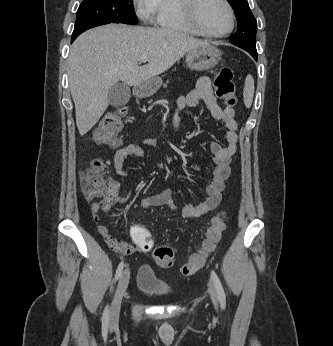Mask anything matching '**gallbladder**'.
Segmentation results:
<instances>
[{
    "label": "gallbladder",
    "instance_id": "bac80fb5",
    "mask_svg": "<svg viewBox=\"0 0 333 346\" xmlns=\"http://www.w3.org/2000/svg\"><path fill=\"white\" fill-rule=\"evenodd\" d=\"M130 96V87L124 82L114 84L108 91V100L113 107H121L127 104Z\"/></svg>",
    "mask_w": 333,
    "mask_h": 346
}]
</instances>
